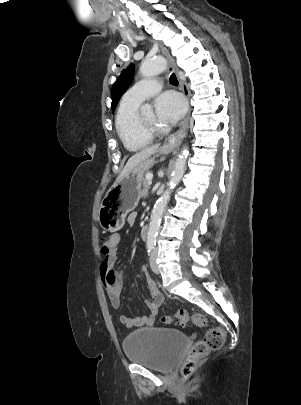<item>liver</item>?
I'll use <instances>...</instances> for the list:
<instances>
[{
	"label": "liver",
	"mask_w": 301,
	"mask_h": 405,
	"mask_svg": "<svg viewBox=\"0 0 301 405\" xmlns=\"http://www.w3.org/2000/svg\"><path fill=\"white\" fill-rule=\"evenodd\" d=\"M160 147V144H155L144 148L140 152L134 154L129 158L125 167L121 171L120 175L117 177L116 181H120L126 174H128L133 168L140 164L143 160L154 154Z\"/></svg>",
	"instance_id": "1"
}]
</instances>
